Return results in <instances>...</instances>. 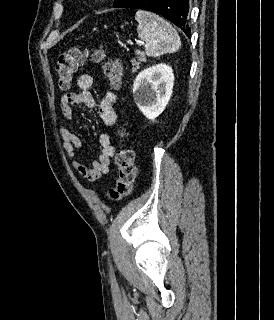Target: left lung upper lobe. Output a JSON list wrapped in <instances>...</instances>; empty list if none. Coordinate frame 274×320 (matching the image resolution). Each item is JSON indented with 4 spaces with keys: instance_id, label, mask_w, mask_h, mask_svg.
Instances as JSON below:
<instances>
[{
    "instance_id": "left-lung-upper-lobe-1",
    "label": "left lung upper lobe",
    "mask_w": 274,
    "mask_h": 320,
    "mask_svg": "<svg viewBox=\"0 0 274 320\" xmlns=\"http://www.w3.org/2000/svg\"><path fill=\"white\" fill-rule=\"evenodd\" d=\"M129 0H115L113 7H122L125 5Z\"/></svg>"
}]
</instances>
